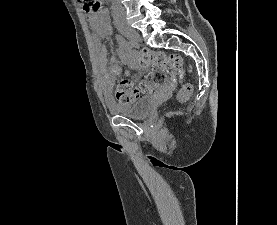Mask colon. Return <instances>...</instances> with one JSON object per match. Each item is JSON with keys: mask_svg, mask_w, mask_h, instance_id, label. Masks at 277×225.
<instances>
[{"mask_svg": "<svg viewBox=\"0 0 277 225\" xmlns=\"http://www.w3.org/2000/svg\"><path fill=\"white\" fill-rule=\"evenodd\" d=\"M78 2H82L84 9L89 13H97L101 9L99 0H78ZM135 63L139 67L150 68L151 72L139 85L129 79H121L116 87V99L119 102H133L141 93L152 94L157 92L164 84L166 74H171L179 80H182L185 75L182 57L177 54L167 55L146 49L139 53ZM191 94V85L183 84L177 99L183 103Z\"/></svg>", "mask_w": 277, "mask_h": 225, "instance_id": "obj_1", "label": "colon"}]
</instances>
